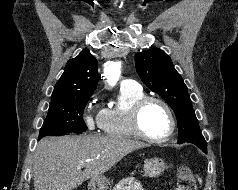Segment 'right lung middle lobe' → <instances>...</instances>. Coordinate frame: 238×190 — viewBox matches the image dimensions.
Returning a JSON list of instances; mask_svg holds the SVG:
<instances>
[{
	"label": "right lung middle lobe",
	"instance_id": "1",
	"mask_svg": "<svg viewBox=\"0 0 238 190\" xmlns=\"http://www.w3.org/2000/svg\"><path fill=\"white\" fill-rule=\"evenodd\" d=\"M90 96L91 94H85L52 100L48 115L40 129L39 139L46 135L87 130L82 116Z\"/></svg>",
	"mask_w": 238,
	"mask_h": 190
}]
</instances>
